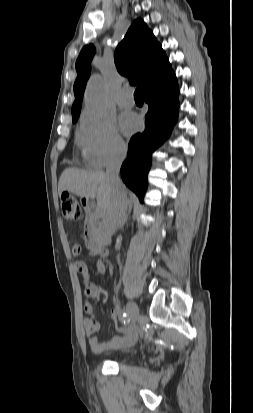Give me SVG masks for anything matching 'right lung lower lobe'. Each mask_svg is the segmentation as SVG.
<instances>
[{"instance_id":"1","label":"right lung lower lobe","mask_w":253,"mask_h":413,"mask_svg":"<svg viewBox=\"0 0 253 413\" xmlns=\"http://www.w3.org/2000/svg\"><path fill=\"white\" fill-rule=\"evenodd\" d=\"M148 104L145 130L135 134L128 146V157L121 167L124 183L132 189L140 201L147 188V174L151 166V154L171 134L179 110L177 81L156 83L144 92Z\"/></svg>"}]
</instances>
